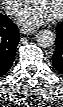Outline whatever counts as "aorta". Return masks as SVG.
Wrapping results in <instances>:
<instances>
[{"instance_id": "obj_1", "label": "aorta", "mask_w": 63, "mask_h": 107, "mask_svg": "<svg viewBox=\"0 0 63 107\" xmlns=\"http://www.w3.org/2000/svg\"><path fill=\"white\" fill-rule=\"evenodd\" d=\"M36 41L39 46L49 48L55 43V34L48 29H42L38 31Z\"/></svg>"}]
</instances>
